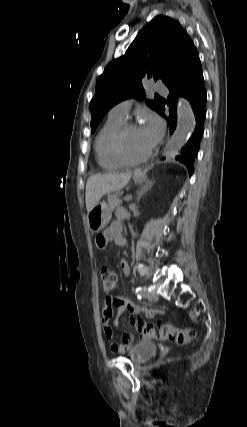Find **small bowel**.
Listing matches in <instances>:
<instances>
[{"label":"small bowel","instance_id":"1","mask_svg":"<svg viewBox=\"0 0 247 427\" xmlns=\"http://www.w3.org/2000/svg\"><path fill=\"white\" fill-rule=\"evenodd\" d=\"M117 216L118 218H123L125 216L124 211H118ZM111 240H114L119 245L125 244V239L122 235V226L119 220L113 222L103 234L96 238V244L99 248H105L107 242ZM121 266L123 272L126 275L129 274V267L127 263L123 261ZM114 312L116 313V317L111 324V318ZM124 312H129L131 314L145 313L148 317H153L157 313L155 310H148L141 305L131 302L122 295H117L112 299H106L101 319L103 332L107 340L110 342L111 349L120 353L128 350L134 343L133 335L127 329H125L121 341L115 338L114 327L119 325V317ZM142 338L147 339L144 336Z\"/></svg>","mask_w":247,"mask_h":427}]
</instances>
